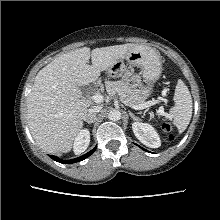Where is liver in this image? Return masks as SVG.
<instances>
[{
	"mask_svg": "<svg viewBox=\"0 0 220 220\" xmlns=\"http://www.w3.org/2000/svg\"><path fill=\"white\" fill-rule=\"evenodd\" d=\"M137 46L123 44L83 47L62 54L41 69L27 98L28 124L33 138L49 153H67L83 128L93 102L81 99V86L98 80L126 52ZM91 57L92 65H89Z\"/></svg>",
	"mask_w": 220,
	"mask_h": 220,
	"instance_id": "1",
	"label": "liver"
}]
</instances>
